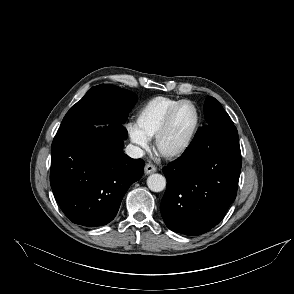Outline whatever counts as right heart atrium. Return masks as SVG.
<instances>
[{
    "label": "right heart atrium",
    "mask_w": 294,
    "mask_h": 294,
    "mask_svg": "<svg viewBox=\"0 0 294 294\" xmlns=\"http://www.w3.org/2000/svg\"><path fill=\"white\" fill-rule=\"evenodd\" d=\"M128 132L131 140L140 148L146 149L148 147V139L142 135L138 128L130 124L128 126Z\"/></svg>",
    "instance_id": "1"
}]
</instances>
